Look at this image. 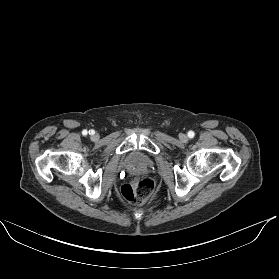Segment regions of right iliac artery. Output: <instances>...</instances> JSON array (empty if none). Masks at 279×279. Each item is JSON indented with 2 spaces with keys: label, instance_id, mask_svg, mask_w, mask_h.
Returning a JSON list of instances; mask_svg holds the SVG:
<instances>
[{
  "label": "right iliac artery",
  "instance_id": "right-iliac-artery-1",
  "mask_svg": "<svg viewBox=\"0 0 279 279\" xmlns=\"http://www.w3.org/2000/svg\"><path fill=\"white\" fill-rule=\"evenodd\" d=\"M87 133H88L87 130H83V131H82V134H83V135H87ZM89 134H90V131H89ZM91 134H93V131H91Z\"/></svg>",
  "mask_w": 279,
  "mask_h": 279
}]
</instances>
